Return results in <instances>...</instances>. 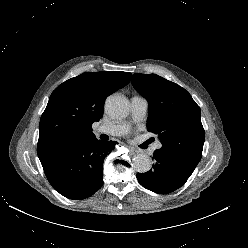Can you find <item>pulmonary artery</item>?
Here are the masks:
<instances>
[{"label":"pulmonary artery","mask_w":248,"mask_h":248,"mask_svg":"<svg viewBox=\"0 0 248 248\" xmlns=\"http://www.w3.org/2000/svg\"><path fill=\"white\" fill-rule=\"evenodd\" d=\"M148 111V101L141 96L131 98V122H139L144 119ZM130 128V122H110L97 127L95 134H107L111 136L124 135ZM160 144L157 143L154 149H158Z\"/></svg>","instance_id":"1"}]
</instances>
